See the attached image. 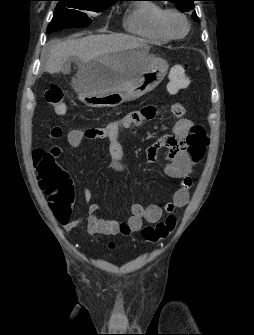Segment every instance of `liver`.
<instances>
[{"label":"liver","mask_w":254,"mask_h":335,"mask_svg":"<svg viewBox=\"0 0 254 335\" xmlns=\"http://www.w3.org/2000/svg\"><path fill=\"white\" fill-rule=\"evenodd\" d=\"M140 45H144L140 39L123 34L90 35L66 41L53 40L45 63V71L50 74L59 73L63 67H67V71H69L67 62L70 59L77 60L78 73L73 80V84L75 91L78 92V89L75 87V81L78 77L88 75V65L90 62L98 58L106 60L113 53ZM145 68L143 66L136 71H121L110 74L104 90L114 91L121 89L129 79L142 72Z\"/></svg>","instance_id":"1"}]
</instances>
